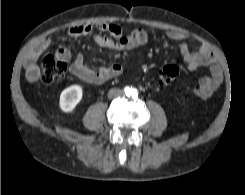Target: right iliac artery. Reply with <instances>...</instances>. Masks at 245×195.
<instances>
[{"label": "right iliac artery", "mask_w": 245, "mask_h": 195, "mask_svg": "<svg viewBox=\"0 0 245 195\" xmlns=\"http://www.w3.org/2000/svg\"><path fill=\"white\" fill-rule=\"evenodd\" d=\"M124 90H125L126 93L129 92V88L128 87H126Z\"/></svg>", "instance_id": "right-iliac-artery-1"}]
</instances>
